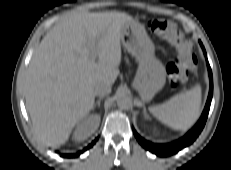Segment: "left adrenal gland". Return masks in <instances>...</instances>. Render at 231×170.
Wrapping results in <instances>:
<instances>
[{
    "label": "left adrenal gland",
    "mask_w": 231,
    "mask_h": 170,
    "mask_svg": "<svg viewBox=\"0 0 231 170\" xmlns=\"http://www.w3.org/2000/svg\"><path fill=\"white\" fill-rule=\"evenodd\" d=\"M144 115H146V109L144 108Z\"/></svg>",
    "instance_id": "left-adrenal-gland-1"
}]
</instances>
